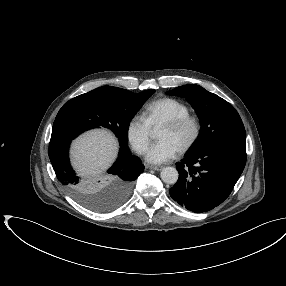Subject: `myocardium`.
Returning a JSON list of instances; mask_svg holds the SVG:
<instances>
[{"mask_svg": "<svg viewBox=\"0 0 286 286\" xmlns=\"http://www.w3.org/2000/svg\"><path fill=\"white\" fill-rule=\"evenodd\" d=\"M187 125L192 127V135L189 140L180 148L181 152H186L190 150L199 140L202 131L200 119L196 115L189 113L184 116L170 119L162 125V127L172 129L182 128Z\"/></svg>", "mask_w": 286, "mask_h": 286, "instance_id": "obj_1", "label": "myocardium"}]
</instances>
